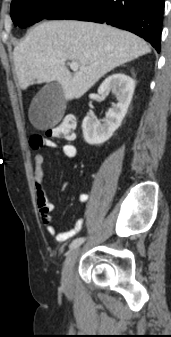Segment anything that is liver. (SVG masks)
<instances>
[{
	"label": "liver",
	"instance_id": "obj_1",
	"mask_svg": "<svg viewBox=\"0 0 171 337\" xmlns=\"http://www.w3.org/2000/svg\"><path fill=\"white\" fill-rule=\"evenodd\" d=\"M137 35L106 24L72 20L45 21L14 47L19 86L56 81L66 100L82 97L112 69L150 53ZM85 69L71 73L66 61Z\"/></svg>",
	"mask_w": 171,
	"mask_h": 337
}]
</instances>
